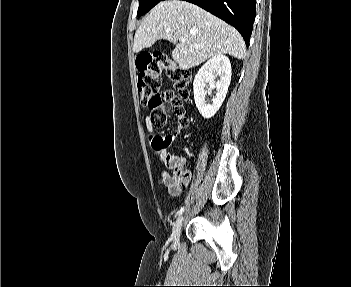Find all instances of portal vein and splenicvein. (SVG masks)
<instances>
[{
    "instance_id": "18ae733b",
    "label": "portal vein and splenic vein",
    "mask_w": 351,
    "mask_h": 287,
    "mask_svg": "<svg viewBox=\"0 0 351 287\" xmlns=\"http://www.w3.org/2000/svg\"><path fill=\"white\" fill-rule=\"evenodd\" d=\"M179 41H181V42H185L186 40H185V38H180V40ZM195 47H197L196 45H195Z\"/></svg>"
}]
</instances>
